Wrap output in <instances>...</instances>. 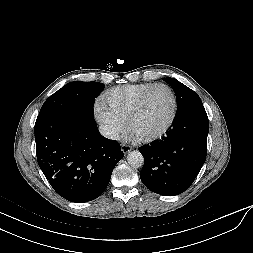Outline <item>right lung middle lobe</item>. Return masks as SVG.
I'll use <instances>...</instances> for the list:
<instances>
[{
    "mask_svg": "<svg viewBox=\"0 0 253 253\" xmlns=\"http://www.w3.org/2000/svg\"><path fill=\"white\" fill-rule=\"evenodd\" d=\"M103 88L99 82H70L45 101L40 113L57 111L93 117V103Z\"/></svg>",
    "mask_w": 253,
    "mask_h": 253,
    "instance_id": "right-lung-middle-lobe-1",
    "label": "right lung middle lobe"
}]
</instances>
